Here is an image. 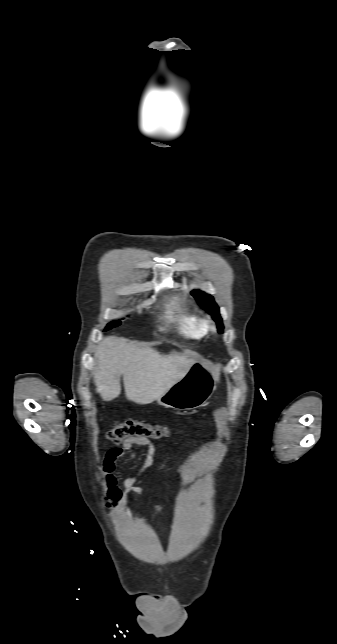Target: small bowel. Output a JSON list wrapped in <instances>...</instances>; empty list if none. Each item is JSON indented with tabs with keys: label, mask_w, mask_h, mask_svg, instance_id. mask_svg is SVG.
<instances>
[{
	"label": "small bowel",
	"mask_w": 337,
	"mask_h": 644,
	"mask_svg": "<svg viewBox=\"0 0 337 644\" xmlns=\"http://www.w3.org/2000/svg\"><path fill=\"white\" fill-rule=\"evenodd\" d=\"M135 445L146 447V455L137 473L124 479L123 490H121L118 487L117 479L114 475L115 464L117 460L123 457H127L130 460L135 459L136 452L133 449ZM155 452V446L146 438L126 439L121 447L112 448L107 452L103 464L104 483L107 489L105 503L109 507H114L116 509L114 513L115 515L119 513L124 493L136 492L141 494V490L137 487L136 481L154 463ZM179 471H182L181 465L179 466ZM158 509L162 510L163 507H159Z\"/></svg>",
	"instance_id": "c3829d8e"
}]
</instances>
